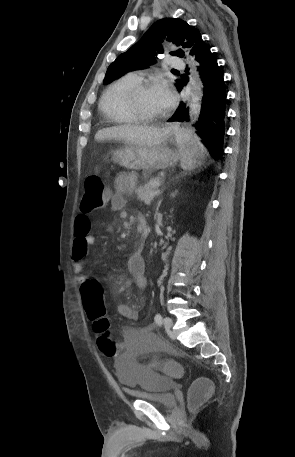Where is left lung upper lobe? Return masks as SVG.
<instances>
[{"instance_id": "obj_1", "label": "left lung upper lobe", "mask_w": 295, "mask_h": 457, "mask_svg": "<svg viewBox=\"0 0 295 457\" xmlns=\"http://www.w3.org/2000/svg\"><path fill=\"white\" fill-rule=\"evenodd\" d=\"M200 38L201 33L199 30L190 26L184 20L163 18L155 22L136 44L111 63L107 69L104 82L118 79L129 71L147 67L155 62L157 53H163L161 46L163 39L172 41L177 46L181 45L183 48H189V51H191L193 45ZM170 54L179 57L184 56V52L181 49ZM180 85L181 81L178 80L175 86L178 89Z\"/></svg>"}]
</instances>
